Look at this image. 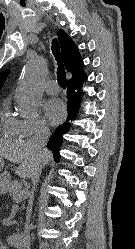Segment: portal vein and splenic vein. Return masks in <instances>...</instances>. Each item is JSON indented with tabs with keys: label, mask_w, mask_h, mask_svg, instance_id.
<instances>
[{
	"label": "portal vein and splenic vein",
	"mask_w": 135,
	"mask_h": 249,
	"mask_svg": "<svg viewBox=\"0 0 135 249\" xmlns=\"http://www.w3.org/2000/svg\"><path fill=\"white\" fill-rule=\"evenodd\" d=\"M23 197H24V193L21 192V193L17 196L16 201H17V202L22 201Z\"/></svg>",
	"instance_id": "1"
}]
</instances>
